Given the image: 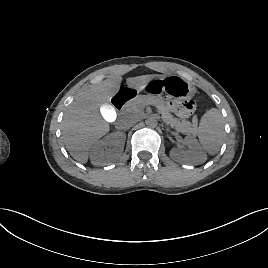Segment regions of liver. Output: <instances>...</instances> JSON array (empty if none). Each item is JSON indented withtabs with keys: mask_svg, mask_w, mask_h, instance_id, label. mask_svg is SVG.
<instances>
[{
	"mask_svg": "<svg viewBox=\"0 0 268 268\" xmlns=\"http://www.w3.org/2000/svg\"><path fill=\"white\" fill-rule=\"evenodd\" d=\"M154 75H142L126 80L131 87L141 85ZM122 82L120 75L100 81L78 92L70 104L62 122L63 141L70 155L81 163L88 161L91 146L110 130L105 112L100 114V107L107 110V103L119 90Z\"/></svg>",
	"mask_w": 268,
	"mask_h": 268,
	"instance_id": "obj_1",
	"label": "liver"
}]
</instances>
